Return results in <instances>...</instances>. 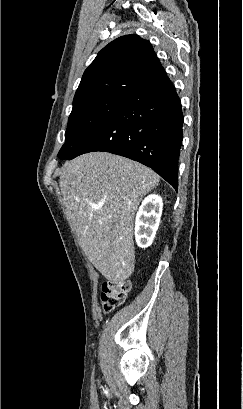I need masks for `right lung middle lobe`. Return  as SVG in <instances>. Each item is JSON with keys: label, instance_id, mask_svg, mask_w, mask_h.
<instances>
[{"label": "right lung middle lobe", "instance_id": "right-lung-middle-lobe-1", "mask_svg": "<svg viewBox=\"0 0 243 409\" xmlns=\"http://www.w3.org/2000/svg\"><path fill=\"white\" fill-rule=\"evenodd\" d=\"M125 99L102 98L73 104L58 157L66 159L88 137L98 131L118 110Z\"/></svg>", "mask_w": 243, "mask_h": 409}]
</instances>
